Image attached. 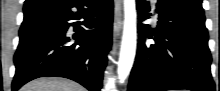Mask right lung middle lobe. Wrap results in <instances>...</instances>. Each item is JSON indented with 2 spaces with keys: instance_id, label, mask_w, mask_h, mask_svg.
<instances>
[{
  "instance_id": "1",
  "label": "right lung middle lobe",
  "mask_w": 220,
  "mask_h": 91,
  "mask_svg": "<svg viewBox=\"0 0 220 91\" xmlns=\"http://www.w3.org/2000/svg\"><path fill=\"white\" fill-rule=\"evenodd\" d=\"M37 3H38V1H36V0H26L24 7L25 6L32 7V6L36 5Z\"/></svg>"
}]
</instances>
